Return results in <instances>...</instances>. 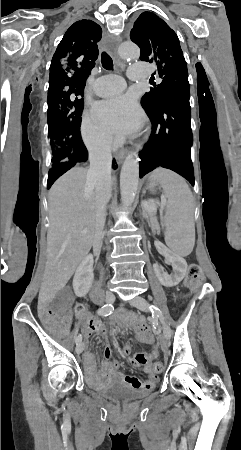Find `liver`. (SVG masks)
I'll use <instances>...</instances> for the list:
<instances>
[{
    "instance_id": "6515ba94",
    "label": "liver",
    "mask_w": 241,
    "mask_h": 450,
    "mask_svg": "<svg viewBox=\"0 0 241 450\" xmlns=\"http://www.w3.org/2000/svg\"><path fill=\"white\" fill-rule=\"evenodd\" d=\"M87 172V168H72L49 190L47 262L39 302H52L92 248L96 194L95 190H85Z\"/></svg>"
}]
</instances>
